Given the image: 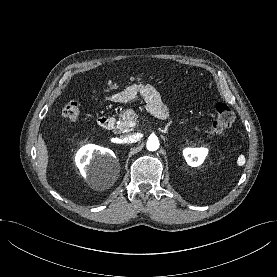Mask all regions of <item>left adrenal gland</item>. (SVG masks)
Returning a JSON list of instances; mask_svg holds the SVG:
<instances>
[{"label": "left adrenal gland", "mask_w": 277, "mask_h": 277, "mask_svg": "<svg viewBox=\"0 0 277 277\" xmlns=\"http://www.w3.org/2000/svg\"><path fill=\"white\" fill-rule=\"evenodd\" d=\"M169 126H170V123H168V124L165 126V129L162 130L161 132H162V133H167L168 127H169Z\"/></svg>", "instance_id": "left-adrenal-gland-1"}]
</instances>
